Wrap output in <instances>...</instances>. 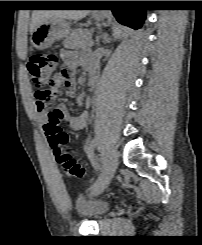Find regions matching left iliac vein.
Wrapping results in <instances>:
<instances>
[{
    "label": "left iliac vein",
    "instance_id": "obj_1",
    "mask_svg": "<svg viewBox=\"0 0 202 245\" xmlns=\"http://www.w3.org/2000/svg\"><path fill=\"white\" fill-rule=\"evenodd\" d=\"M103 172L98 178V187L94 191V194L97 195L102 192L112 180L117 165H118V153L115 147H110L103 155Z\"/></svg>",
    "mask_w": 202,
    "mask_h": 245
}]
</instances>
